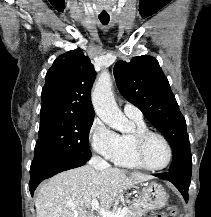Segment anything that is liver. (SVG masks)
<instances>
[{
  "label": "liver",
  "instance_id": "liver-1",
  "mask_svg": "<svg viewBox=\"0 0 211 217\" xmlns=\"http://www.w3.org/2000/svg\"><path fill=\"white\" fill-rule=\"evenodd\" d=\"M153 176L108 166L95 170L90 164L59 173L43 184L36 195V217H96L88 211L93 200L108 210L116 197ZM72 206L74 208H72Z\"/></svg>",
  "mask_w": 211,
  "mask_h": 217
}]
</instances>
